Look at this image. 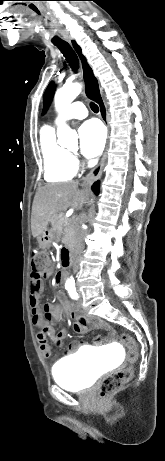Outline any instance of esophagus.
<instances>
[{
	"label": "esophagus",
	"mask_w": 165,
	"mask_h": 461,
	"mask_svg": "<svg viewBox=\"0 0 165 461\" xmlns=\"http://www.w3.org/2000/svg\"><path fill=\"white\" fill-rule=\"evenodd\" d=\"M69 43H70V45L72 46V48L75 51H77V52L81 51L80 46H79V44H78V42L76 40L71 39V40H69ZM80 62H81V69H82V78H83V82H84V85H85L86 91H87L88 90V81L85 78V72H86V67H87L88 61H87V59L85 57H83L80 60ZM96 80H97L99 92H100V95H101V98H102V103L101 102L98 103L99 111H100V117H101L102 121L104 122V124L107 126L108 132H109V122H108L107 107H106L105 100H104V97H103L102 88L100 87V84H99V81H98L97 77H96ZM107 151H108V142L106 144L103 156H102L99 164L94 169H92L90 171V173H88V175L84 178V180H83V185L84 186H89L94 181H96L97 179L100 178V176L102 174L104 164H105V160H106V157H107Z\"/></svg>",
	"instance_id": "obj_1"
}]
</instances>
